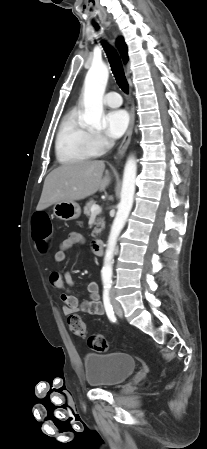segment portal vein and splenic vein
<instances>
[{"label": "portal vein and splenic vein", "instance_id": "1", "mask_svg": "<svg viewBox=\"0 0 207 449\" xmlns=\"http://www.w3.org/2000/svg\"><path fill=\"white\" fill-rule=\"evenodd\" d=\"M91 212H92V214H98L101 212V208L98 205H93L91 207Z\"/></svg>", "mask_w": 207, "mask_h": 449}]
</instances>
